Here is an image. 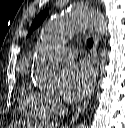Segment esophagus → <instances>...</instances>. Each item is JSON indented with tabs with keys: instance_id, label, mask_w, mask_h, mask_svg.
<instances>
[{
	"instance_id": "esophagus-1",
	"label": "esophagus",
	"mask_w": 125,
	"mask_h": 128,
	"mask_svg": "<svg viewBox=\"0 0 125 128\" xmlns=\"http://www.w3.org/2000/svg\"><path fill=\"white\" fill-rule=\"evenodd\" d=\"M93 36V40H94V44H93V48H92V63H93V67H94V81H93V85L91 87V90L87 96V98L84 100V102L78 107V109L76 110L75 114L72 117L71 123H74L80 113L85 109V107L88 105L96 84H97V79H98V75H99V56H98V45H99V39L96 33H92Z\"/></svg>"
}]
</instances>
